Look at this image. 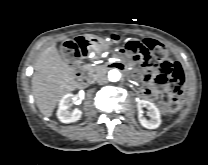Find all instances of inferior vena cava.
Masks as SVG:
<instances>
[{"label":"inferior vena cava","instance_id":"inferior-vena-cava-1","mask_svg":"<svg viewBox=\"0 0 208 165\" xmlns=\"http://www.w3.org/2000/svg\"><path fill=\"white\" fill-rule=\"evenodd\" d=\"M107 76L105 74H99L97 77H96V81L99 83V84H104L107 82Z\"/></svg>","mask_w":208,"mask_h":165}]
</instances>
